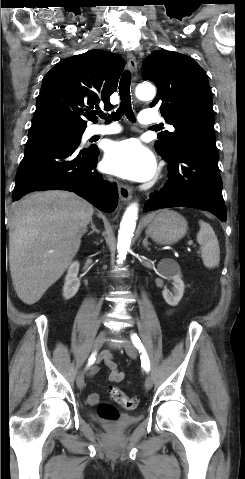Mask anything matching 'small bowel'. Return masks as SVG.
<instances>
[{"instance_id":"1","label":"small bowel","mask_w":245,"mask_h":479,"mask_svg":"<svg viewBox=\"0 0 245 479\" xmlns=\"http://www.w3.org/2000/svg\"><path fill=\"white\" fill-rule=\"evenodd\" d=\"M100 360L110 369L109 381L111 382H120L124 379L125 373L120 370L118 364L114 361L112 355L105 351L101 354ZM97 367H93L92 373L97 371ZM98 395L96 393H91L88 395V403L94 405L98 402Z\"/></svg>"}]
</instances>
